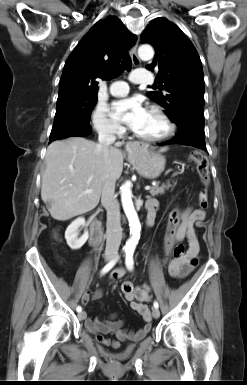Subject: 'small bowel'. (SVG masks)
Instances as JSON below:
<instances>
[{
  "mask_svg": "<svg viewBox=\"0 0 247 385\" xmlns=\"http://www.w3.org/2000/svg\"><path fill=\"white\" fill-rule=\"evenodd\" d=\"M148 213L155 211L158 208V202L154 199H149L146 202ZM205 218L204 209L186 208L180 210L175 208L169 216V225L166 231V248L165 252L168 255L172 248L183 239L188 241V250L185 256L180 260H172L168 263V272L171 277L182 279L188 276L198 264V254L200 250L199 240L195 232V226H202V221ZM126 273L124 268H119L110 274L112 281L121 279ZM131 286L132 291L125 293L126 300L130 303L131 308L137 312L143 319V326L136 332L130 331L124 327V321L116 319L115 315L108 318L90 319L87 318L85 325L87 330L96 336L98 342L103 345L119 348L121 341H139L149 332L152 326L151 312L148 307V302L151 301L150 286L143 285L135 287L132 283L126 282ZM102 289L95 291L87 290L82 296L81 302L87 305L90 301L101 298ZM114 334L117 340L105 338V335Z\"/></svg>",
  "mask_w": 247,
  "mask_h": 385,
  "instance_id": "1",
  "label": "small bowel"
}]
</instances>
